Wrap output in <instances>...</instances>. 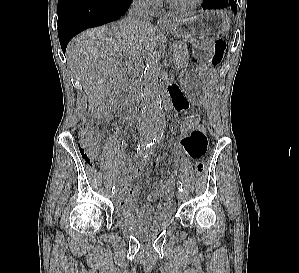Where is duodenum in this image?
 <instances>
[{
  "instance_id": "duodenum-1",
  "label": "duodenum",
  "mask_w": 299,
  "mask_h": 273,
  "mask_svg": "<svg viewBox=\"0 0 299 273\" xmlns=\"http://www.w3.org/2000/svg\"><path fill=\"white\" fill-rule=\"evenodd\" d=\"M118 109L132 122H135V110L132 107L131 100L127 96H120L118 101ZM165 107L167 110L171 109L170 101H166Z\"/></svg>"
}]
</instances>
